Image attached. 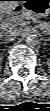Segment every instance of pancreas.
I'll use <instances>...</instances> for the list:
<instances>
[{"label": "pancreas", "mask_w": 50, "mask_h": 111, "mask_svg": "<svg viewBox=\"0 0 50 111\" xmlns=\"http://www.w3.org/2000/svg\"><path fill=\"white\" fill-rule=\"evenodd\" d=\"M34 16V15H33ZM30 13L26 12L22 15H19V16H15V17H11V18H8L6 19L3 23H4V27L6 29H12L14 27H16L17 25H20V26H24L26 21L25 19L27 17H30L32 19H35Z\"/></svg>", "instance_id": "obj_1"}]
</instances>
